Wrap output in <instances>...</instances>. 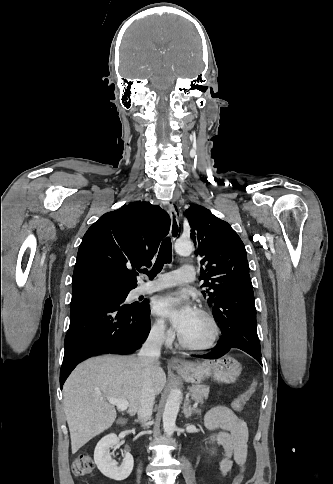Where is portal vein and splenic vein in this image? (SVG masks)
<instances>
[{
  "instance_id": "1",
  "label": "portal vein and splenic vein",
  "mask_w": 333,
  "mask_h": 484,
  "mask_svg": "<svg viewBox=\"0 0 333 484\" xmlns=\"http://www.w3.org/2000/svg\"><path fill=\"white\" fill-rule=\"evenodd\" d=\"M109 403L116 405L117 408L121 411H125L129 407V402L126 399H114L111 397H107ZM198 403H195L193 406L197 407Z\"/></svg>"
}]
</instances>
